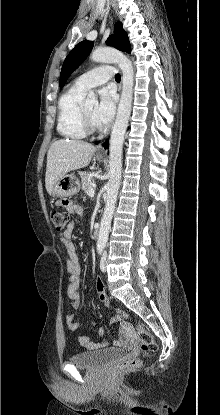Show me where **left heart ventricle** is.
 Instances as JSON below:
<instances>
[{"mask_svg":"<svg viewBox=\"0 0 220 415\" xmlns=\"http://www.w3.org/2000/svg\"><path fill=\"white\" fill-rule=\"evenodd\" d=\"M95 107H96V105L94 103L85 104V110H86V112H87L90 120L92 121V123H94L95 125H97L96 122H95V120H94V118H93V112L95 110Z\"/></svg>","mask_w":220,"mask_h":415,"instance_id":"1","label":"left heart ventricle"}]
</instances>
